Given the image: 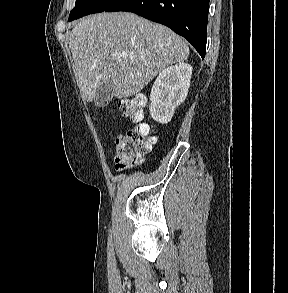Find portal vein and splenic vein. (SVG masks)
I'll use <instances>...</instances> for the list:
<instances>
[{
	"label": "portal vein and splenic vein",
	"instance_id": "portal-vein-and-splenic-vein-1",
	"mask_svg": "<svg viewBox=\"0 0 288 293\" xmlns=\"http://www.w3.org/2000/svg\"><path fill=\"white\" fill-rule=\"evenodd\" d=\"M121 56H123V57H127L128 54L124 52V53H122V54L119 55V57H121ZM130 58L133 59L134 56H133V55H130Z\"/></svg>",
	"mask_w": 288,
	"mask_h": 293
}]
</instances>
